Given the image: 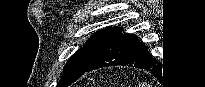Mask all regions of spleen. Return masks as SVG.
<instances>
[{
  "instance_id": "1",
  "label": "spleen",
  "mask_w": 205,
  "mask_h": 87,
  "mask_svg": "<svg viewBox=\"0 0 205 87\" xmlns=\"http://www.w3.org/2000/svg\"><path fill=\"white\" fill-rule=\"evenodd\" d=\"M143 87H150V85H149V84H146L145 86L143 85Z\"/></svg>"
}]
</instances>
